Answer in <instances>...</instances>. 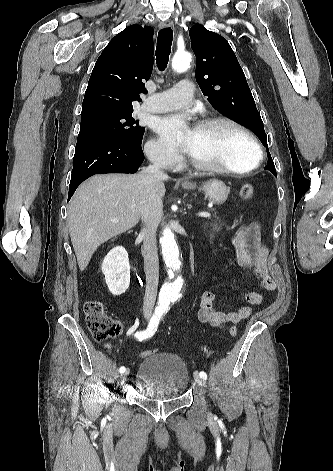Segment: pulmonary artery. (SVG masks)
<instances>
[{
    "label": "pulmonary artery",
    "mask_w": 333,
    "mask_h": 471,
    "mask_svg": "<svg viewBox=\"0 0 333 471\" xmlns=\"http://www.w3.org/2000/svg\"><path fill=\"white\" fill-rule=\"evenodd\" d=\"M192 98L193 83L189 80H181L173 88L147 98L142 109L151 113L172 111L187 106Z\"/></svg>",
    "instance_id": "1"
}]
</instances>
